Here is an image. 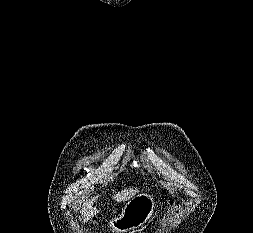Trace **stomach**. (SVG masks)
Instances as JSON below:
<instances>
[{"mask_svg": "<svg viewBox=\"0 0 253 233\" xmlns=\"http://www.w3.org/2000/svg\"><path fill=\"white\" fill-rule=\"evenodd\" d=\"M155 200L148 193H139L132 197L122 209V212L110 221V226L116 233H134L145 225L155 209Z\"/></svg>", "mask_w": 253, "mask_h": 233, "instance_id": "1", "label": "stomach"}]
</instances>
